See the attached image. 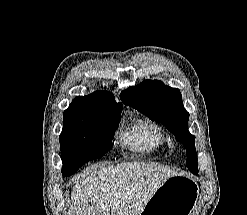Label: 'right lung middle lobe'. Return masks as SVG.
Returning <instances> with one entry per match:
<instances>
[{"label":"right lung middle lobe","instance_id":"right-lung-middle-lobe-1","mask_svg":"<svg viewBox=\"0 0 247 215\" xmlns=\"http://www.w3.org/2000/svg\"><path fill=\"white\" fill-rule=\"evenodd\" d=\"M63 118L59 137L62 174L69 176L86 162L102 157L111 149L120 113L89 109L73 100Z\"/></svg>","mask_w":247,"mask_h":215}]
</instances>
